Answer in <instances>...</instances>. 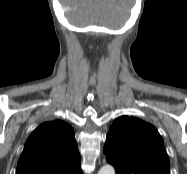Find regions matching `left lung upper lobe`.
<instances>
[{
	"label": "left lung upper lobe",
	"mask_w": 187,
	"mask_h": 174,
	"mask_svg": "<svg viewBox=\"0 0 187 174\" xmlns=\"http://www.w3.org/2000/svg\"><path fill=\"white\" fill-rule=\"evenodd\" d=\"M104 154L116 174H170L164 141L157 129L134 117L114 120Z\"/></svg>",
	"instance_id": "1"
}]
</instances>
